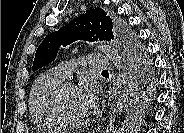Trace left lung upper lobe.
<instances>
[{"instance_id":"1","label":"left lung upper lobe","mask_w":184,"mask_h":133,"mask_svg":"<svg viewBox=\"0 0 184 133\" xmlns=\"http://www.w3.org/2000/svg\"><path fill=\"white\" fill-rule=\"evenodd\" d=\"M114 39L119 43L125 60L127 73L125 104L132 108L140 99L144 86L152 79L151 63L126 24L110 17L101 8L87 10L85 14L73 19L60 30L47 35L37 48L33 71L52 62L61 45L66 46L76 40L93 42Z\"/></svg>"}]
</instances>
